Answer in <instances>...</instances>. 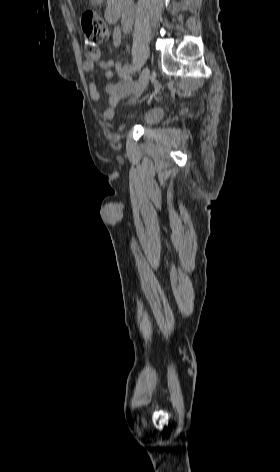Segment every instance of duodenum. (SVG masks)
<instances>
[{
  "label": "duodenum",
  "instance_id": "410a0bca",
  "mask_svg": "<svg viewBox=\"0 0 280 472\" xmlns=\"http://www.w3.org/2000/svg\"><path fill=\"white\" fill-rule=\"evenodd\" d=\"M126 0H110L106 9L105 17L109 23H115L123 10Z\"/></svg>",
  "mask_w": 280,
  "mask_h": 472
}]
</instances>
